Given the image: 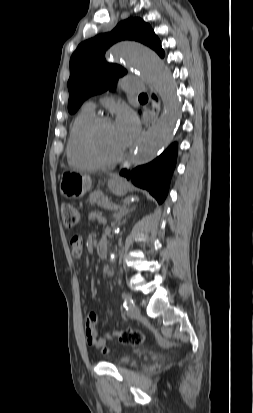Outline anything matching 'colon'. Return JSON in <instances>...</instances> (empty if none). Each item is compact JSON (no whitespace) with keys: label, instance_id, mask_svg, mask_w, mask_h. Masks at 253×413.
I'll use <instances>...</instances> for the list:
<instances>
[{"label":"colon","instance_id":"colon-1","mask_svg":"<svg viewBox=\"0 0 253 413\" xmlns=\"http://www.w3.org/2000/svg\"><path fill=\"white\" fill-rule=\"evenodd\" d=\"M61 216L66 227L75 226L79 220L78 209L71 203H63L61 205ZM108 337H116L121 343L127 345H139L145 341V335L133 329L114 331Z\"/></svg>","mask_w":253,"mask_h":413}]
</instances>
